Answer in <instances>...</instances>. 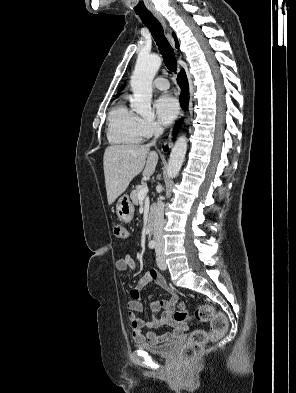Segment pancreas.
Returning <instances> with one entry per match:
<instances>
[{"mask_svg": "<svg viewBox=\"0 0 296 393\" xmlns=\"http://www.w3.org/2000/svg\"><path fill=\"white\" fill-rule=\"evenodd\" d=\"M144 186H145V184L137 185V186L135 187V189H134V190L131 192V194H130V198H131L132 202H133L135 205H138V203H139L138 193L140 192V190H141Z\"/></svg>", "mask_w": 296, "mask_h": 393, "instance_id": "pancreas-1", "label": "pancreas"}]
</instances>
